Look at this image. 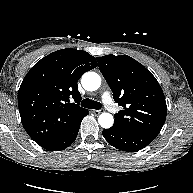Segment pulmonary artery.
Here are the masks:
<instances>
[{"label": "pulmonary artery", "mask_w": 193, "mask_h": 193, "mask_svg": "<svg viewBox=\"0 0 193 193\" xmlns=\"http://www.w3.org/2000/svg\"><path fill=\"white\" fill-rule=\"evenodd\" d=\"M104 100L107 104H111V98H110V95L109 93H104Z\"/></svg>", "instance_id": "1"}]
</instances>
